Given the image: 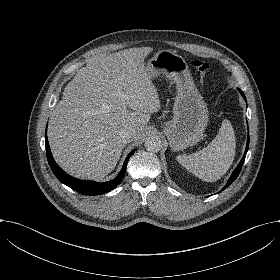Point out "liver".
<instances>
[{
	"instance_id": "6515ba94",
	"label": "liver",
	"mask_w": 280,
	"mask_h": 280,
	"mask_svg": "<svg viewBox=\"0 0 280 280\" xmlns=\"http://www.w3.org/2000/svg\"><path fill=\"white\" fill-rule=\"evenodd\" d=\"M151 50L129 48L107 58L94 56L65 87L50 119L49 143L67 174L100 179L121 158L125 143L119 131H130L134 141L142 138L151 114L160 108L143 64Z\"/></svg>"
}]
</instances>
